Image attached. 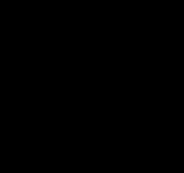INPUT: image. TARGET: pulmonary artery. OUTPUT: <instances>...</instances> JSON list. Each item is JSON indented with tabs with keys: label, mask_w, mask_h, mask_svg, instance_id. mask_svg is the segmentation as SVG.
Wrapping results in <instances>:
<instances>
[{
	"label": "pulmonary artery",
	"mask_w": 184,
	"mask_h": 173,
	"mask_svg": "<svg viewBox=\"0 0 184 173\" xmlns=\"http://www.w3.org/2000/svg\"><path fill=\"white\" fill-rule=\"evenodd\" d=\"M96 90H97V88L94 87V88L91 89V92H96Z\"/></svg>",
	"instance_id": "pulmonary-artery-1"
}]
</instances>
